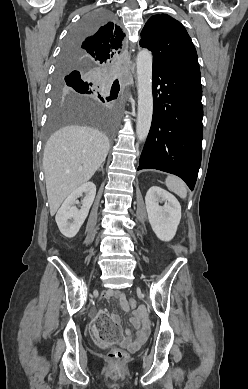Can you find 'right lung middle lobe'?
<instances>
[{"mask_svg": "<svg viewBox=\"0 0 248 389\" xmlns=\"http://www.w3.org/2000/svg\"><path fill=\"white\" fill-rule=\"evenodd\" d=\"M112 14L108 10H96L86 14L81 22L70 32L64 49L76 41L94 33L101 25L109 22ZM63 49V50H64ZM73 71L81 74L68 79ZM95 68L71 62L63 67V59L59 60L58 76L55 81L53 105L49 117L47 135L49 136L58 128L73 125H93L104 131L110 138L114 134V119L107 111L97 104L88 102L80 94H96L103 102L117 98L118 89L112 85L110 94L98 90L93 76ZM65 77V81H64ZM98 90V91H97Z\"/></svg>", "mask_w": 248, "mask_h": 389, "instance_id": "obj_1", "label": "right lung middle lobe"}]
</instances>
